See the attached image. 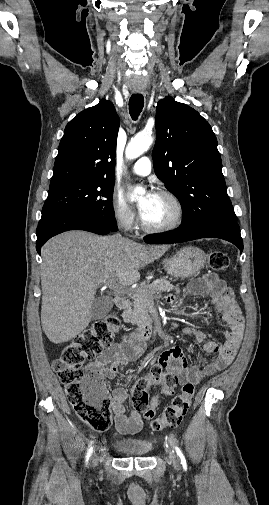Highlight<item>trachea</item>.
Wrapping results in <instances>:
<instances>
[{
	"label": "trachea",
	"instance_id": "trachea-1",
	"mask_svg": "<svg viewBox=\"0 0 269 505\" xmlns=\"http://www.w3.org/2000/svg\"><path fill=\"white\" fill-rule=\"evenodd\" d=\"M144 107L142 94H133L129 100V112L133 120H136Z\"/></svg>",
	"mask_w": 269,
	"mask_h": 505
}]
</instances>
